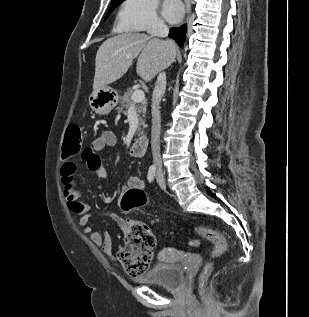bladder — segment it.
<instances>
[{
    "label": "bladder",
    "mask_w": 309,
    "mask_h": 317,
    "mask_svg": "<svg viewBox=\"0 0 309 317\" xmlns=\"http://www.w3.org/2000/svg\"><path fill=\"white\" fill-rule=\"evenodd\" d=\"M141 284H154L168 289L179 288L184 281L181 262H159L135 278Z\"/></svg>",
    "instance_id": "bladder-1"
}]
</instances>
